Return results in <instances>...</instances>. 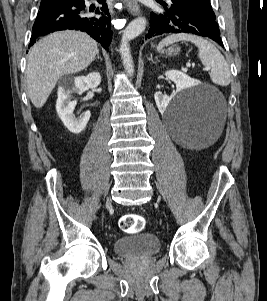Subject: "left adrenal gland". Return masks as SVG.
<instances>
[{
    "label": "left adrenal gland",
    "mask_w": 267,
    "mask_h": 301,
    "mask_svg": "<svg viewBox=\"0 0 267 301\" xmlns=\"http://www.w3.org/2000/svg\"><path fill=\"white\" fill-rule=\"evenodd\" d=\"M149 61H151L152 63H156V62L153 60L152 54L150 55Z\"/></svg>",
    "instance_id": "1"
}]
</instances>
